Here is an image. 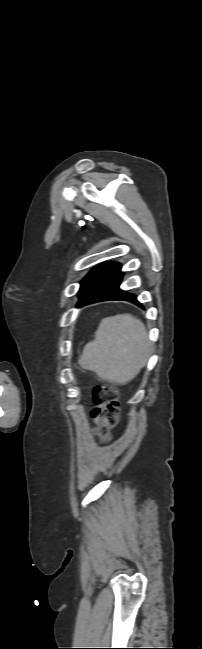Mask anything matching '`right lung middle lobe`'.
Returning <instances> with one entry per match:
<instances>
[{"mask_svg":"<svg viewBox=\"0 0 202 649\" xmlns=\"http://www.w3.org/2000/svg\"><path fill=\"white\" fill-rule=\"evenodd\" d=\"M111 262H106L103 264L98 265L94 269L91 270V272L81 281V287L79 291V296L80 299L83 296V293L85 289L87 288L88 284L102 271L104 270Z\"/></svg>","mask_w":202,"mask_h":649,"instance_id":"dd1d6c3e","label":"right lung middle lobe"}]
</instances>
